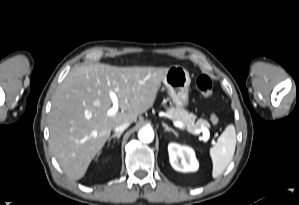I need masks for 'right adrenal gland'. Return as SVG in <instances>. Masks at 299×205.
Listing matches in <instances>:
<instances>
[{"mask_svg":"<svg viewBox=\"0 0 299 205\" xmlns=\"http://www.w3.org/2000/svg\"><path fill=\"white\" fill-rule=\"evenodd\" d=\"M122 135V132H119V133H115L113 134L110 138H109V142L113 139V138H117V140H119L120 136Z\"/></svg>","mask_w":299,"mask_h":205,"instance_id":"right-adrenal-gland-1","label":"right adrenal gland"}]
</instances>
